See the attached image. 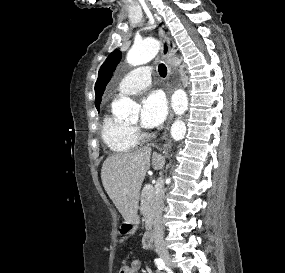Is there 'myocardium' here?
<instances>
[{
	"mask_svg": "<svg viewBox=\"0 0 285 273\" xmlns=\"http://www.w3.org/2000/svg\"><path fill=\"white\" fill-rule=\"evenodd\" d=\"M131 128L134 130L137 138L138 137H140V138H147L148 137V134L142 133L137 125H132Z\"/></svg>",
	"mask_w": 285,
	"mask_h": 273,
	"instance_id": "obj_1",
	"label": "myocardium"
}]
</instances>
